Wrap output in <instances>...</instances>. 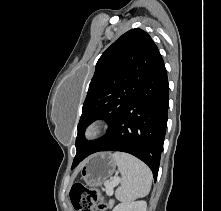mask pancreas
I'll list each match as a JSON object with an SVG mask.
<instances>
[{"mask_svg": "<svg viewBox=\"0 0 221 211\" xmlns=\"http://www.w3.org/2000/svg\"><path fill=\"white\" fill-rule=\"evenodd\" d=\"M111 195H112V194H111ZM113 204H114V201H113V200H110V202H109V207H112Z\"/></svg>", "mask_w": 221, "mask_h": 211, "instance_id": "cf45deb5", "label": "pancreas"}]
</instances>
